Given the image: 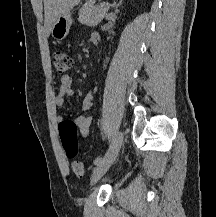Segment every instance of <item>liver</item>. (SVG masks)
Listing matches in <instances>:
<instances>
[{
  "instance_id": "obj_1",
  "label": "liver",
  "mask_w": 216,
  "mask_h": 217,
  "mask_svg": "<svg viewBox=\"0 0 216 217\" xmlns=\"http://www.w3.org/2000/svg\"><path fill=\"white\" fill-rule=\"evenodd\" d=\"M66 2L67 0H44L45 27L48 34Z\"/></svg>"
}]
</instances>
